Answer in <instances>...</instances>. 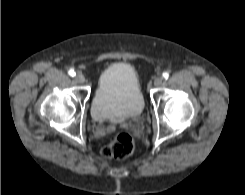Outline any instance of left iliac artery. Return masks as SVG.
<instances>
[{
    "label": "left iliac artery",
    "instance_id": "1",
    "mask_svg": "<svg viewBox=\"0 0 245 195\" xmlns=\"http://www.w3.org/2000/svg\"><path fill=\"white\" fill-rule=\"evenodd\" d=\"M163 77H164L165 79H167V78L169 77V73H168V72H164V73H163Z\"/></svg>",
    "mask_w": 245,
    "mask_h": 195
}]
</instances>
